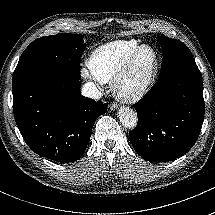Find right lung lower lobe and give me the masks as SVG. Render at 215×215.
<instances>
[{
  "label": "right lung lower lobe",
  "instance_id": "98d812e1",
  "mask_svg": "<svg viewBox=\"0 0 215 215\" xmlns=\"http://www.w3.org/2000/svg\"><path fill=\"white\" fill-rule=\"evenodd\" d=\"M79 79L30 76L13 85V111L19 131L36 154L59 163L83 155L96 119L107 104L80 94Z\"/></svg>",
  "mask_w": 215,
  "mask_h": 215
}]
</instances>
